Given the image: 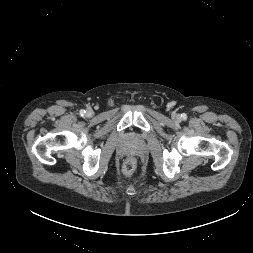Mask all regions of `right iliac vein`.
Returning a JSON list of instances; mask_svg holds the SVG:
<instances>
[{"mask_svg": "<svg viewBox=\"0 0 253 253\" xmlns=\"http://www.w3.org/2000/svg\"><path fill=\"white\" fill-rule=\"evenodd\" d=\"M87 115H88V116H91V115H92V111H88V112H87Z\"/></svg>", "mask_w": 253, "mask_h": 253, "instance_id": "obj_1", "label": "right iliac vein"}]
</instances>
